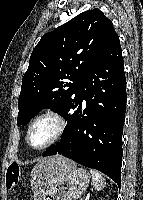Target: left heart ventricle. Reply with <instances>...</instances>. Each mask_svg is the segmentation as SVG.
<instances>
[{"label":"left heart ventricle","mask_w":143,"mask_h":200,"mask_svg":"<svg viewBox=\"0 0 143 200\" xmlns=\"http://www.w3.org/2000/svg\"><path fill=\"white\" fill-rule=\"evenodd\" d=\"M57 124L51 119H43L37 122L30 133V144L39 147L47 143L56 133Z\"/></svg>","instance_id":"b2bd125f"}]
</instances>
